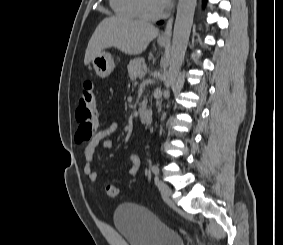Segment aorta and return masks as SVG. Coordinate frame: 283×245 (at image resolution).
Wrapping results in <instances>:
<instances>
[{"instance_id": "obj_1", "label": "aorta", "mask_w": 283, "mask_h": 245, "mask_svg": "<svg viewBox=\"0 0 283 245\" xmlns=\"http://www.w3.org/2000/svg\"><path fill=\"white\" fill-rule=\"evenodd\" d=\"M195 8L196 0H179L178 2L169 68L164 80L166 88L177 77L184 61Z\"/></svg>"}]
</instances>
